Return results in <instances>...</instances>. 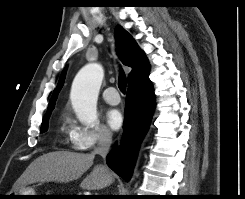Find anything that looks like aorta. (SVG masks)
I'll list each match as a JSON object with an SVG mask.
<instances>
[{
  "label": "aorta",
  "instance_id": "1",
  "mask_svg": "<svg viewBox=\"0 0 245 199\" xmlns=\"http://www.w3.org/2000/svg\"><path fill=\"white\" fill-rule=\"evenodd\" d=\"M104 77L100 64L84 66L76 75L71 88V103L79 121L86 125L97 119V98Z\"/></svg>",
  "mask_w": 245,
  "mask_h": 199
}]
</instances>
